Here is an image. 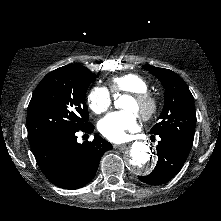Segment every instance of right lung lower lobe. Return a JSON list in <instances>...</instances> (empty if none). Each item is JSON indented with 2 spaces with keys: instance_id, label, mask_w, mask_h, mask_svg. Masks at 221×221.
<instances>
[{
  "instance_id": "obj_1",
  "label": "right lung lower lobe",
  "mask_w": 221,
  "mask_h": 221,
  "mask_svg": "<svg viewBox=\"0 0 221 221\" xmlns=\"http://www.w3.org/2000/svg\"><path fill=\"white\" fill-rule=\"evenodd\" d=\"M87 123L81 129L92 133ZM76 132L49 135L31 145L35 159L44 175L64 189H78L88 184L96 174L102 155L111 150V143L95 135L92 142H77Z\"/></svg>"
}]
</instances>
